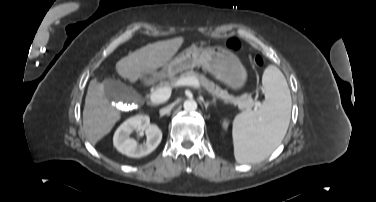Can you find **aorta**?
I'll return each instance as SVG.
<instances>
[{
	"label": "aorta",
	"mask_w": 376,
	"mask_h": 202,
	"mask_svg": "<svg viewBox=\"0 0 376 202\" xmlns=\"http://www.w3.org/2000/svg\"><path fill=\"white\" fill-rule=\"evenodd\" d=\"M185 111L192 112L197 109V103L195 100H186L183 104Z\"/></svg>",
	"instance_id": "1"
}]
</instances>
